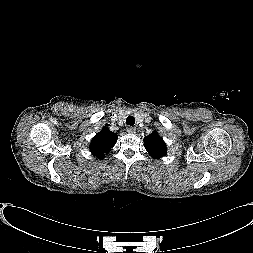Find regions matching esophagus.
<instances>
[{
	"label": "esophagus",
	"mask_w": 253,
	"mask_h": 253,
	"mask_svg": "<svg viewBox=\"0 0 253 253\" xmlns=\"http://www.w3.org/2000/svg\"><path fill=\"white\" fill-rule=\"evenodd\" d=\"M126 131H127L128 133H135L136 129H135V127L127 126Z\"/></svg>",
	"instance_id": "34e87169"
}]
</instances>
